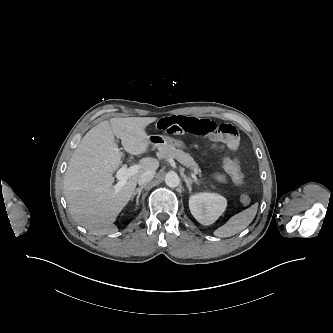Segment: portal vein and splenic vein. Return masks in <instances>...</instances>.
I'll list each match as a JSON object with an SVG mask.
<instances>
[{
  "mask_svg": "<svg viewBox=\"0 0 333 333\" xmlns=\"http://www.w3.org/2000/svg\"><path fill=\"white\" fill-rule=\"evenodd\" d=\"M138 170H139L138 165H133V166H130L129 168L126 165L122 166L116 174V178L118 179V183L115 185V191H120V189L125 186L129 177L136 174ZM191 176L194 179H197V177L194 173Z\"/></svg>",
  "mask_w": 333,
  "mask_h": 333,
  "instance_id": "18ae733b",
  "label": "portal vein and splenic vein"
}]
</instances>
